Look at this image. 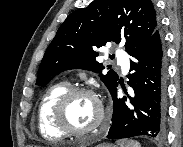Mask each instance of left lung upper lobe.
<instances>
[{"label": "left lung upper lobe", "instance_id": "5c2ea615", "mask_svg": "<svg viewBox=\"0 0 183 147\" xmlns=\"http://www.w3.org/2000/svg\"><path fill=\"white\" fill-rule=\"evenodd\" d=\"M160 27L151 0H95L71 13L48 46L38 71L36 85L45 86L66 69L82 68L99 73L111 92L118 74L96 61L93 48L107 42H125L128 53Z\"/></svg>", "mask_w": 183, "mask_h": 147}]
</instances>
